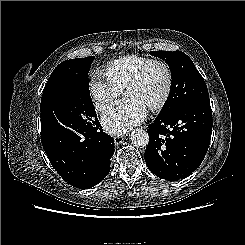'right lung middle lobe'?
I'll return each mask as SVG.
<instances>
[{
    "instance_id": "dd1d6c3e",
    "label": "right lung middle lobe",
    "mask_w": 245,
    "mask_h": 245,
    "mask_svg": "<svg viewBox=\"0 0 245 245\" xmlns=\"http://www.w3.org/2000/svg\"><path fill=\"white\" fill-rule=\"evenodd\" d=\"M94 56L66 60L53 71L40 104L41 127H89L97 114L89 92L88 72Z\"/></svg>"
}]
</instances>
